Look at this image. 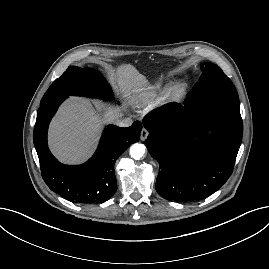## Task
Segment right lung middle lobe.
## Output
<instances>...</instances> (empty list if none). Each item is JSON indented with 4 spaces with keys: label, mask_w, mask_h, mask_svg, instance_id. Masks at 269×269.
<instances>
[{
    "label": "right lung middle lobe",
    "mask_w": 269,
    "mask_h": 269,
    "mask_svg": "<svg viewBox=\"0 0 269 269\" xmlns=\"http://www.w3.org/2000/svg\"><path fill=\"white\" fill-rule=\"evenodd\" d=\"M69 95L109 99L111 90L102 74L98 71L90 68L69 66L62 76L57 78L49 87L40 104L54 98Z\"/></svg>",
    "instance_id": "1"
}]
</instances>
